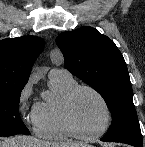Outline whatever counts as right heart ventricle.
<instances>
[{"instance_id": "e07e8e85", "label": "right heart ventricle", "mask_w": 145, "mask_h": 147, "mask_svg": "<svg viewBox=\"0 0 145 147\" xmlns=\"http://www.w3.org/2000/svg\"><path fill=\"white\" fill-rule=\"evenodd\" d=\"M77 85L72 76L49 77L50 98L36 104L35 132L50 140H67L77 135L71 130L63 113V101Z\"/></svg>"}]
</instances>
